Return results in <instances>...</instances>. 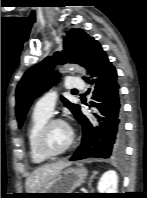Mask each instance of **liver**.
<instances>
[{"label": "liver", "mask_w": 147, "mask_h": 198, "mask_svg": "<svg viewBox=\"0 0 147 198\" xmlns=\"http://www.w3.org/2000/svg\"><path fill=\"white\" fill-rule=\"evenodd\" d=\"M67 161H59L57 163L43 165L35 169L26 179L27 193H35L53 179L60 171L69 166Z\"/></svg>", "instance_id": "obj_1"}]
</instances>
